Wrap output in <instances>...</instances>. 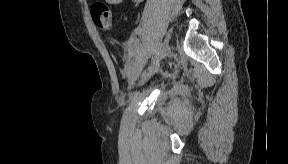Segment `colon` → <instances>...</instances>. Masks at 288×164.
Instances as JSON below:
<instances>
[{"label":"colon","mask_w":288,"mask_h":164,"mask_svg":"<svg viewBox=\"0 0 288 164\" xmlns=\"http://www.w3.org/2000/svg\"><path fill=\"white\" fill-rule=\"evenodd\" d=\"M92 15L95 24L102 30H109L113 25L111 9L104 3H97L92 6Z\"/></svg>","instance_id":"obj_1"}]
</instances>
